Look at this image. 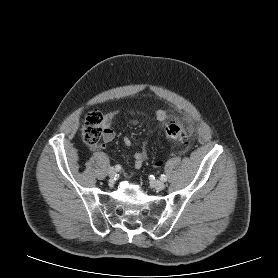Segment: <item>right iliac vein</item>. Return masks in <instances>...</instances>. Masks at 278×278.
<instances>
[{"label": "right iliac vein", "instance_id": "63e3f726", "mask_svg": "<svg viewBox=\"0 0 278 278\" xmlns=\"http://www.w3.org/2000/svg\"><path fill=\"white\" fill-rule=\"evenodd\" d=\"M108 175L111 179H114L116 176V169L111 167L108 169Z\"/></svg>", "mask_w": 278, "mask_h": 278}]
</instances>
